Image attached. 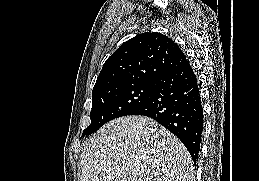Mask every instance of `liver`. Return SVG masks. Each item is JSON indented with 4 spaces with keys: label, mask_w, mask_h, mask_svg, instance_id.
Returning a JSON list of instances; mask_svg holds the SVG:
<instances>
[{
    "label": "liver",
    "mask_w": 259,
    "mask_h": 181,
    "mask_svg": "<svg viewBox=\"0 0 259 181\" xmlns=\"http://www.w3.org/2000/svg\"><path fill=\"white\" fill-rule=\"evenodd\" d=\"M81 169L80 181H194L187 148L143 116L117 118L91 136Z\"/></svg>",
    "instance_id": "liver-1"
}]
</instances>
